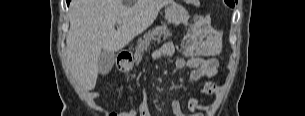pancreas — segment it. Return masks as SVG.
<instances>
[{"mask_svg": "<svg viewBox=\"0 0 305 116\" xmlns=\"http://www.w3.org/2000/svg\"><path fill=\"white\" fill-rule=\"evenodd\" d=\"M172 36L170 30L167 28L166 25L157 26L152 31L146 33L143 39L139 40L136 51L134 54V62L139 64L142 60L144 52L147 50L148 46L152 41H160L161 38L166 40Z\"/></svg>", "mask_w": 305, "mask_h": 116, "instance_id": "obj_1", "label": "pancreas"}]
</instances>
